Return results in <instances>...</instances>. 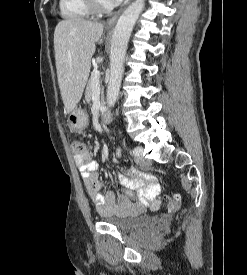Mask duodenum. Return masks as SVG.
<instances>
[{"label": "duodenum", "mask_w": 247, "mask_h": 275, "mask_svg": "<svg viewBox=\"0 0 247 275\" xmlns=\"http://www.w3.org/2000/svg\"><path fill=\"white\" fill-rule=\"evenodd\" d=\"M100 121L102 124H108L111 121V115L108 109L103 110L100 113Z\"/></svg>", "instance_id": "410a0bca"}]
</instances>
